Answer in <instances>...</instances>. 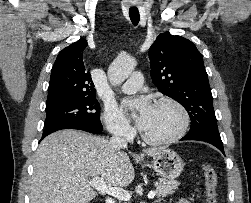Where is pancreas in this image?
<instances>
[{"label": "pancreas", "instance_id": "obj_1", "mask_svg": "<svg viewBox=\"0 0 251 203\" xmlns=\"http://www.w3.org/2000/svg\"><path fill=\"white\" fill-rule=\"evenodd\" d=\"M178 185L179 182L176 180L162 179L157 184L155 193L158 197H166L167 195L173 194Z\"/></svg>", "mask_w": 251, "mask_h": 203}]
</instances>
